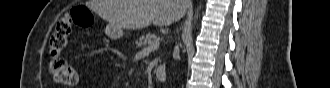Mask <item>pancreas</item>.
Segmentation results:
<instances>
[{"label":"pancreas","instance_id":"pancreas-1","mask_svg":"<svg viewBox=\"0 0 330 88\" xmlns=\"http://www.w3.org/2000/svg\"><path fill=\"white\" fill-rule=\"evenodd\" d=\"M159 38L155 34L148 33L146 36L140 37L136 41L137 47H146L152 43L158 42Z\"/></svg>","mask_w":330,"mask_h":88}]
</instances>
